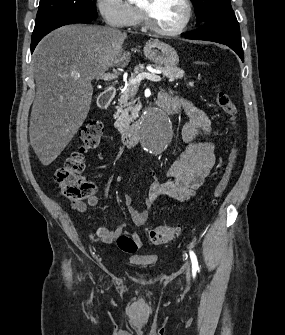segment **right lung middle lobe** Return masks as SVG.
Segmentation results:
<instances>
[{"label":"right lung middle lobe","mask_w":285,"mask_h":335,"mask_svg":"<svg viewBox=\"0 0 285 335\" xmlns=\"http://www.w3.org/2000/svg\"><path fill=\"white\" fill-rule=\"evenodd\" d=\"M77 14L97 18L92 0H40L35 24L58 15Z\"/></svg>","instance_id":"obj_1"}]
</instances>
